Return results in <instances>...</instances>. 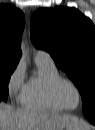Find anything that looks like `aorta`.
I'll return each mask as SVG.
<instances>
[{
  "mask_svg": "<svg viewBox=\"0 0 95 130\" xmlns=\"http://www.w3.org/2000/svg\"><path fill=\"white\" fill-rule=\"evenodd\" d=\"M21 50H22V55L25 56L26 54V47L25 45L22 43V46H21Z\"/></svg>",
  "mask_w": 95,
  "mask_h": 130,
  "instance_id": "obj_1",
  "label": "aorta"
}]
</instances>
